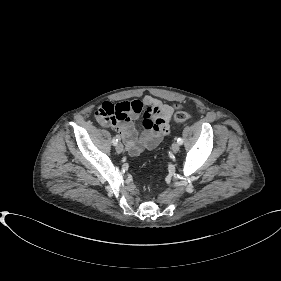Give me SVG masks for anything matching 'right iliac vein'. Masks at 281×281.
I'll list each match as a JSON object with an SVG mask.
<instances>
[{"mask_svg":"<svg viewBox=\"0 0 281 281\" xmlns=\"http://www.w3.org/2000/svg\"><path fill=\"white\" fill-rule=\"evenodd\" d=\"M123 149H124V147H123V145H122L121 143H118V144L116 145V151H117L118 153H121V152L123 151Z\"/></svg>","mask_w":281,"mask_h":281,"instance_id":"obj_1","label":"right iliac vein"}]
</instances>
